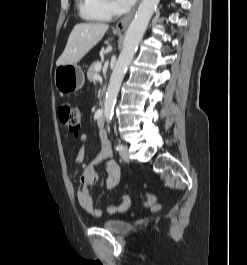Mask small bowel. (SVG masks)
Here are the masks:
<instances>
[{
	"label": "small bowel",
	"instance_id": "1",
	"mask_svg": "<svg viewBox=\"0 0 247 265\" xmlns=\"http://www.w3.org/2000/svg\"><path fill=\"white\" fill-rule=\"evenodd\" d=\"M100 151L98 155L88 163L82 170L79 177V187L77 190V200L80 206L88 213L94 216H101L103 211L94 205L92 196L90 194V188L98 180V173L96 171V165L101 161H106L105 166V179L104 187L107 190L115 188L121 178V168L118 163L113 159V151L111 148L110 141L108 139L107 133L105 131H100ZM85 139V136L82 137ZM84 159V150L81 148L77 154L76 162L78 165L82 163ZM131 205V200L128 196L122 197L117 202L111 203L107 206V211L110 214L122 213L129 209ZM159 207L156 206L153 210H157Z\"/></svg>",
	"mask_w": 247,
	"mask_h": 265
}]
</instances>
